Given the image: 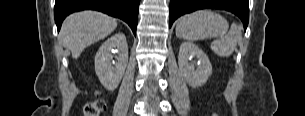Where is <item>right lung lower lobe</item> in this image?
<instances>
[{"mask_svg":"<svg viewBox=\"0 0 305 116\" xmlns=\"http://www.w3.org/2000/svg\"><path fill=\"white\" fill-rule=\"evenodd\" d=\"M139 2L140 0H56L55 22L59 31L66 16L76 11L92 9L124 20L136 35Z\"/></svg>","mask_w":305,"mask_h":116,"instance_id":"obj_1","label":"right lung lower lobe"}]
</instances>
